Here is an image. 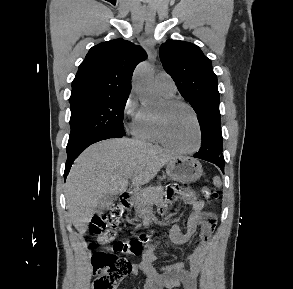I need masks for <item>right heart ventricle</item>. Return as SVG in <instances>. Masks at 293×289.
<instances>
[{"mask_svg": "<svg viewBox=\"0 0 293 289\" xmlns=\"http://www.w3.org/2000/svg\"><path fill=\"white\" fill-rule=\"evenodd\" d=\"M162 95L166 98H171L173 96V94L168 95L163 93ZM134 134L142 141L152 143L159 142L155 134L154 113L151 110L143 108L142 116L135 127Z\"/></svg>", "mask_w": 293, "mask_h": 289, "instance_id": "obj_1", "label": "right heart ventricle"}]
</instances>
